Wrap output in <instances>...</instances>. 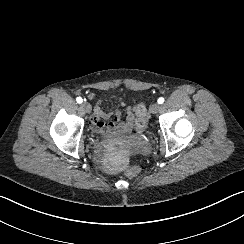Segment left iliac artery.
Here are the masks:
<instances>
[{"instance_id":"44dca946","label":"left iliac artery","mask_w":244,"mask_h":244,"mask_svg":"<svg viewBox=\"0 0 244 244\" xmlns=\"http://www.w3.org/2000/svg\"><path fill=\"white\" fill-rule=\"evenodd\" d=\"M159 104H162L164 102V98L163 97H160L157 101Z\"/></svg>"}]
</instances>
